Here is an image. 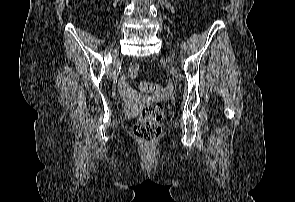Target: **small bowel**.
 I'll list each match as a JSON object with an SVG mask.
<instances>
[{
  "instance_id": "c3829d8e",
  "label": "small bowel",
  "mask_w": 295,
  "mask_h": 202,
  "mask_svg": "<svg viewBox=\"0 0 295 202\" xmlns=\"http://www.w3.org/2000/svg\"><path fill=\"white\" fill-rule=\"evenodd\" d=\"M118 98H126L124 107H151L149 98H136V93H132L133 85L129 81H117Z\"/></svg>"
}]
</instances>
